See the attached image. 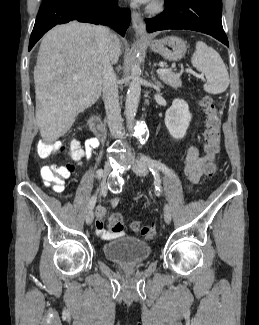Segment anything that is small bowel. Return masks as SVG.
Returning <instances> with one entry per match:
<instances>
[{"mask_svg":"<svg viewBox=\"0 0 259 325\" xmlns=\"http://www.w3.org/2000/svg\"><path fill=\"white\" fill-rule=\"evenodd\" d=\"M79 146L80 144L76 142ZM100 145V139L96 137L89 138L85 141L84 147L81 149V154L79 157L75 158L76 161L80 162L82 158L89 159L94 150L97 149ZM215 154H205L200 155V152L197 147L190 146L186 153L185 158V165H184V173L186 177L188 178L190 184L197 183L203 173H205V167L208 163H212ZM50 166H45L42 168L41 172L48 168ZM118 200L117 198H114L112 200V205H117ZM106 210L103 206H99L96 210V232L97 234L104 238V239H110L116 235V233H112L108 230H106L104 226V219H105Z\"/></svg>","mask_w":259,"mask_h":325,"instance_id":"small-bowel-1","label":"small bowel"}]
</instances>
